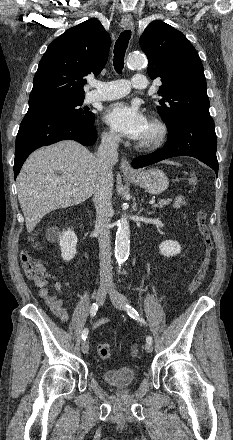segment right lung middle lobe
Here are the masks:
<instances>
[{
    "label": "right lung middle lobe",
    "instance_id": "dd1d6c3e",
    "mask_svg": "<svg viewBox=\"0 0 233 440\" xmlns=\"http://www.w3.org/2000/svg\"><path fill=\"white\" fill-rule=\"evenodd\" d=\"M84 98H58L36 104H30L28 111H46L63 114L85 124H93L95 115L81 108Z\"/></svg>",
    "mask_w": 233,
    "mask_h": 440
}]
</instances>
